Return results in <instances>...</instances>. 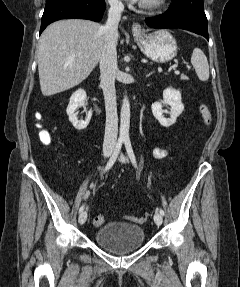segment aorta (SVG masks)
I'll return each mask as SVG.
<instances>
[{
	"instance_id": "obj_1",
	"label": "aorta",
	"mask_w": 240,
	"mask_h": 287,
	"mask_svg": "<svg viewBox=\"0 0 240 287\" xmlns=\"http://www.w3.org/2000/svg\"><path fill=\"white\" fill-rule=\"evenodd\" d=\"M130 127V103L127 97H124L120 115V135L121 140L129 139Z\"/></svg>"
}]
</instances>
